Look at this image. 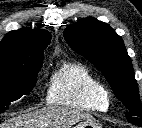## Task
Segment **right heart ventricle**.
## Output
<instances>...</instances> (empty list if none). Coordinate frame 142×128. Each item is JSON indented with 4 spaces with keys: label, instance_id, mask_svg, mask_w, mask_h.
I'll return each mask as SVG.
<instances>
[{
    "label": "right heart ventricle",
    "instance_id": "e07e8e85",
    "mask_svg": "<svg viewBox=\"0 0 142 128\" xmlns=\"http://www.w3.org/2000/svg\"><path fill=\"white\" fill-rule=\"evenodd\" d=\"M47 101L57 106L104 112L109 108L110 95L88 66L78 62H64L52 73Z\"/></svg>",
    "mask_w": 142,
    "mask_h": 128
}]
</instances>
